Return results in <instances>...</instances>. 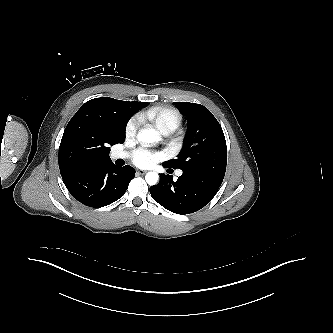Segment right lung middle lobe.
Returning a JSON list of instances; mask_svg holds the SVG:
<instances>
[{
  "label": "right lung middle lobe",
  "mask_w": 333,
  "mask_h": 333,
  "mask_svg": "<svg viewBox=\"0 0 333 333\" xmlns=\"http://www.w3.org/2000/svg\"><path fill=\"white\" fill-rule=\"evenodd\" d=\"M129 119H130V116H124L120 119V122L122 123L124 128L126 127V124H127ZM123 142H124V140H122L120 143H123Z\"/></svg>",
  "instance_id": "right-lung-middle-lobe-1"
}]
</instances>
